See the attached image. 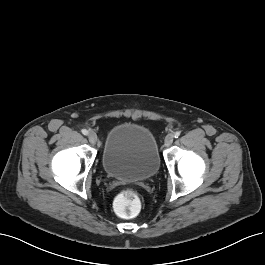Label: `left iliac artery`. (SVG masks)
<instances>
[{
  "instance_id": "44dca946",
  "label": "left iliac artery",
  "mask_w": 265,
  "mask_h": 265,
  "mask_svg": "<svg viewBox=\"0 0 265 265\" xmlns=\"http://www.w3.org/2000/svg\"><path fill=\"white\" fill-rule=\"evenodd\" d=\"M180 133H181L180 131H176V132L174 133V137H175V138H178V137L180 136Z\"/></svg>"
}]
</instances>
